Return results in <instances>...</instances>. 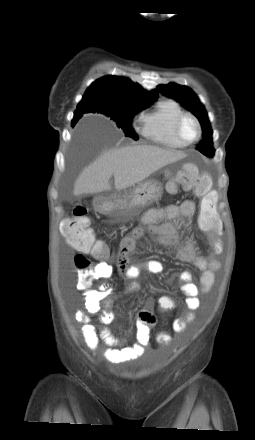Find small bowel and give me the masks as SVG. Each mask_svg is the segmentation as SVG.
<instances>
[{
    "label": "small bowel",
    "instance_id": "c3829d8e",
    "mask_svg": "<svg viewBox=\"0 0 255 440\" xmlns=\"http://www.w3.org/2000/svg\"><path fill=\"white\" fill-rule=\"evenodd\" d=\"M195 212L196 205L192 201H184L178 205H167L164 207L153 208L145 213L142 218L144 227L133 229L128 236L122 239L116 254V262L120 276L127 282L124 293H135L140 291L141 285L137 281V278L140 276L142 268L155 274L164 271L163 264L157 260H149L143 266L132 265L129 263L128 255L135 248L137 240L148 235L158 244L174 249L175 255L179 260L190 263L202 271L199 285L192 282L193 277L189 271H182L177 277L180 284V290L185 296L187 307L191 311L197 310L200 307L198 296L200 293H208L211 291L215 282V272L220 268V263L213 256L205 257L199 254L192 242L183 241L179 235L178 222L193 217ZM163 220H166V222L159 224V222ZM99 258H102L98 264L104 274L102 279L109 278L111 276V265L107 262L105 256ZM99 295L100 294L97 292H92L89 295L90 301L88 308L91 311L98 310L96 300L99 298ZM159 298L172 297L169 295H163ZM114 300L115 297L105 301L103 314L100 317L101 323L109 324L113 320ZM152 307L153 304L149 303L139 310L137 314V342L132 346L125 345L107 329L97 331L91 322L89 315L82 310H78L75 313L74 318L76 322L81 324L84 342L90 349H97L99 342L102 341L108 346L104 352L105 358L111 362H119L142 354L149 346L151 339V326L155 322ZM186 322L185 319L175 320L173 323V330L177 333L182 332L186 327Z\"/></svg>",
    "mask_w": 255,
    "mask_h": 440
}]
</instances>
